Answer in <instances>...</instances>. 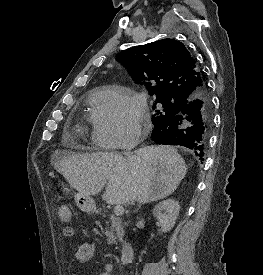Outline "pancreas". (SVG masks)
<instances>
[{"mask_svg":"<svg viewBox=\"0 0 263 275\" xmlns=\"http://www.w3.org/2000/svg\"><path fill=\"white\" fill-rule=\"evenodd\" d=\"M111 227L106 229L105 235L108 244H113L117 238L120 237L122 232V225L118 218L115 216L110 217Z\"/></svg>","mask_w":263,"mask_h":275,"instance_id":"pancreas-1","label":"pancreas"}]
</instances>
